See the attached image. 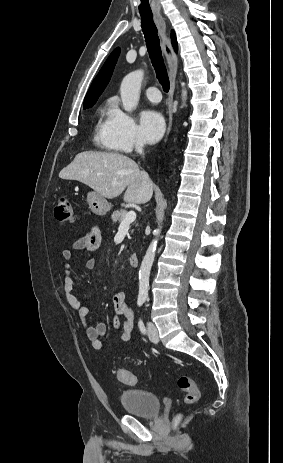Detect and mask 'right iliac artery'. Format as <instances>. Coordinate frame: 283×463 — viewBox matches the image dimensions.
I'll list each match as a JSON object with an SVG mask.
<instances>
[{
	"label": "right iliac artery",
	"instance_id": "82829eb1",
	"mask_svg": "<svg viewBox=\"0 0 283 463\" xmlns=\"http://www.w3.org/2000/svg\"><path fill=\"white\" fill-rule=\"evenodd\" d=\"M143 303H144V299H138L137 305H138L139 307L142 306Z\"/></svg>",
	"mask_w": 283,
	"mask_h": 463
}]
</instances>
